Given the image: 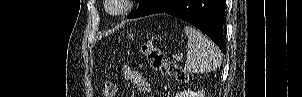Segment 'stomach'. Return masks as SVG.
Segmentation results:
<instances>
[{
	"instance_id": "stomach-1",
	"label": "stomach",
	"mask_w": 302,
	"mask_h": 97,
	"mask_svg": "<svg viewBox=\"0 0 302 97\" xmlns=\"http://www.w3.org/2000/svg\"><path fill=\"white\" fill-rule=\"evenodd\" d=\"M129 37H130V38H133V35H132V34H129Z\"/></svg>"
}]
</instances>
